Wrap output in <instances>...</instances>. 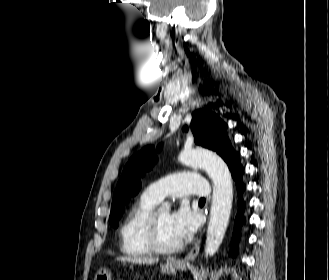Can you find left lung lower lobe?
<instances>
[{
    "mask_svg": "<svg viewBox=\"0 0 329 280\" xmlns=\"http://www.w3.org/2000/svg\"><path fill=\"white\" fill-rule=\"evenodd\" d=\"M230 171L232 172V176L234 180L236 181V186L238 189V196H239V202H238V214L236 216L235 220V227L233 231V242H232V247H231V254L235 255L237 252L236 249V243L239 240V233H240V227L241 225L245 222V218L243 216L244 208H245V203L242 200V193L245 189V185L242 182V175L244 172V168L242 167L241 163H236L235 165L231 166Z\"/></svg>",
    "mask_w": 329,
    "mask_h": 280,
    "instance_id": "obj_1",
    "label": "left lung lower lobe"
}]
</instances>
